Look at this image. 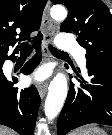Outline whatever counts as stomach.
Returning <instances> with one entry per match:
<instances>
[{"label": "stomach", "instance_id": "obj_1", "mask_svg": "<svg viewBox=\"0 0 112 135\" xmlns=\"http://www.w3.org/2000/svg\"><path fill=\"white\" fill-rule=\"evenodd\" d=\"M79 133L80 135H106L104 130L95 126L83 128Z\"/></svg>", "mask_w": 112, "mask_h": 135}]
</instances>
